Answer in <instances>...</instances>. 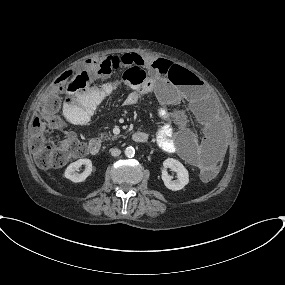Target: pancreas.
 <instances>
[{
  "label": "pancreas",
  "instance_id": "obj_1",
  "mask_svg": "<svg viewBox=\"0 0 285 285\" xmlns=\"http://www.w3.org/2000/svg\"><path fill=\"white\" fill-rule=\"evenodd\" d=\"M110 137H111V134H101V135H100V138H101V139H106V140H108V139H110ZM113 138L116 139L117 136H114Z\"/></svg>",
  "mask_w": 285,
  "mask_h": 285
}]
</instances>
